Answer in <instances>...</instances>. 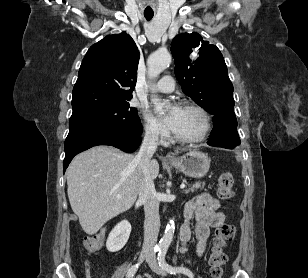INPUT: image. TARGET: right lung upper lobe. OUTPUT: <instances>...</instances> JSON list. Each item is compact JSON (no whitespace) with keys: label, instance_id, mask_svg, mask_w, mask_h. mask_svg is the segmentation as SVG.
Segmentation results:
<instances>
[{"label":"right lung upper lobe","instance_id":"1","mask_svg":"<svg viewBox=\"0 0 308 278\" xmlns=\"http://www.w3.org/2000/svg\"><path fill=\"white\" fill-rule=\"evenodd\" d=\"M139 50L126 32L108 35L87 51L73 88V115L129 102Z\"/></svg>","mask_w":308,"mask_h":278}]
</instances>
